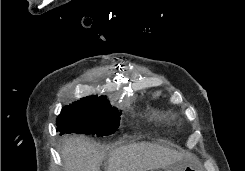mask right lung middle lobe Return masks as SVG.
<instances>
[{
  "instance_id": "dd1d6c3e",
  "label": "right lung middle lobe",
  "mask_w": 245,
  "mask_h": 171,
  "mask_svg": "<svg viewBox=\"0 0 245 171\" xmlns=\"http://www.w3.org/2000/svg\"><path fill=\"white\" fill-rule=\"evenodd\" d=\"M121 112L107 100L80 101L63 107L57 117V131L62 134L106 136L119 127Z\"/></svg>"
}]
</instances>
